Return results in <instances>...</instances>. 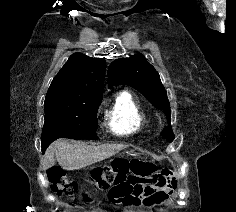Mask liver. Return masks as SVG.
Wrapping results in <instances>:
<instances>
[{"label":"liver","instance_id":"obj_1","mask_svg":"<svg viewBox=\"0 0 236 212\" xmlns=\"http://www.w3.org/2000/svg\"><path fill=\"white\" fill-rule=\"evenodd\" d=\"M125 148L126 145L122 144L92 146L85 142L68 143L61 139L49 146L44 156V164L46 168H50L57 160L63 169L78 170L107 159Z\"/></svg>","mask_w":236,"mask_h":212}]
</instances>
